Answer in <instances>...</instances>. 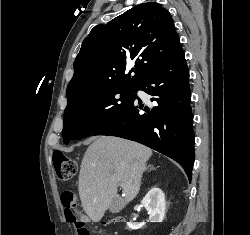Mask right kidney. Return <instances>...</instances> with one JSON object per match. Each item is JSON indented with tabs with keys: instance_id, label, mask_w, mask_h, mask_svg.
<instances>
[{
	"instance_id": "right-kidney-1",
	"label": "right kidney",
	"mask_w": 250,
	"mask_h": 235,
	"mask_svg": "<svg viewBox=\"0 0 250 235\" xmlns=\"http://www.w3.org/2000/svg\"><path fill=\"white\" fill-rule=\"evenodd\" d=\"M141 205L148 211L150 222H162L165 216V195L158 187H153L142 199ZM128 227L132 230L140 229L143 224L128 222Z\"/></svg>"
}]
</instances>
